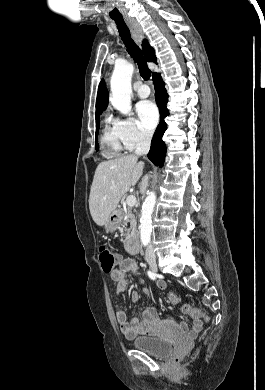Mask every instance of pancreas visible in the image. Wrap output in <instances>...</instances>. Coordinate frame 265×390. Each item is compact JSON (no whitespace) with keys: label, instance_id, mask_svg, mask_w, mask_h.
<instances>
[{"label":"pancreas","instance_id":"1","mask_svg":"<svg viewBox=\"0 0 265 390\" xmlns=\"http://www.w3.org/2000/svg\"><path fill=\"white\" fill-rule=\"evenodd\" d=\"M132 207H127L122 210V217H123V224L130 223V228L125 229V232H122V235L127 236L128 238L135 235L137 232V218L135 217L133 213ZM127 240H125L126 242Z\"/></svg>","mask_w":265,"mask_h":390}]
</instances>
